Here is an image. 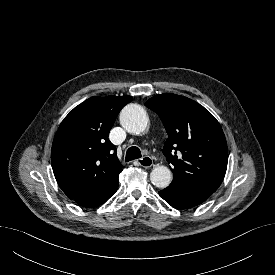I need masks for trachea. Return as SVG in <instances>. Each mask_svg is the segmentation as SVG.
I'll return each mask as SVG.
<instances>
[{
	"instance_id": "trachea-1",
	"label": "trachea",
	"mask_w": 275,
	"mask_h": 275,
	"mask_svg": "<svg viewBox=\"0 0 275 275\" xmlns=\"http://www.w3.org/2000/svg\"><path fill=\"white\" fill-rule=\"evenodd\" d=\"M141 158V151L138 147L132 146L126 152L125 161H131L134 159Z\"/></svg>"
}]
</instances>
